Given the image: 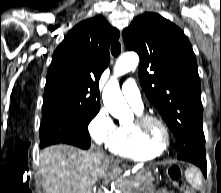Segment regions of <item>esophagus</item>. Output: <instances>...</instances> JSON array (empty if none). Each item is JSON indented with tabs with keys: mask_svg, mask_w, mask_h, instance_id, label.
<instances>
[{
	"mask_svg": "<svg viewBox=\"0 0 221 193\" xmlns=\"http://www.w3.org/2000/svg\"><path fill=\"white\" fill-rule=\"evenodd\" d=\"M119 42H120V44H121V45L123 44V37H122V33L120 34Z\"/></svg>",
	"mask_w": 221,
	"mask_h": 193,
	"instance_id": "1",
	"label": "esophagus"
}]
</instances>
